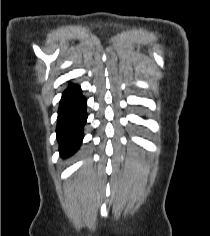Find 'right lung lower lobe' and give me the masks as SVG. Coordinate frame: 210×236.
Here are the masks:
<instances>
[{"instance_id": "right-lung-lower-lobe-1", "label": "right lung lower lobe", "mask_w": 210, "mask_h": 236, "mask_svg": "<svg viewBox=\"0 0 210 236\" xmlns=\"http://www.w3.org/2000/svg\"><path fill=\"white\" fill-rule=\"evenodd\" d=\"M86 104L77 85H70L62 95L56 133L63 157L72 155L81 145L82 130L87 119Z\"/></svg>"}]
</instances>
